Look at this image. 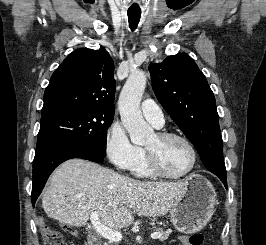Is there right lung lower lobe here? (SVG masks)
Here are the masks:
<instances>
[{
  "label": "right lung lower lobe",
  "mask_w": 266,
  "mask_h": 245,
  "mask_svg": "<svg viewBox=\"0 0 266 245\" xmlns=\"http://www.w3.org/2000/svg\"><path fill=\"white\" fill-rule=\"evenodd\" d=\"M104 157L88 148L67 142H58L36 149L33 161L31 194L33 207L48 177L59 164L72 158H81L102 163Z\"/></svg>",
  "instance_id": "right-lung-lower-lobe-1"
}]
</instances>
